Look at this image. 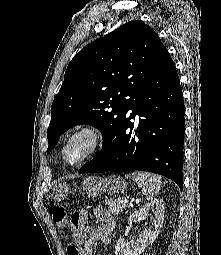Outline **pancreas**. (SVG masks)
Returning <instances> with one entry per match:
<instances>
[{"label":"pancreas","instance_id":"obj_1","mask_svg":"<svg viewBox=\"0 0 221 255\" xmlns=\"http://www.w3.org/2000/svg\"><path fill=\"white\" fill-rule=\"evenodd\" d=\"M105 205L108 206L109 212L112 214H118L120 211L128 207V205L124 202V199H107L105 200Z\"/></svg>","mask_w":221,"mask_h":255}]
</instances>
